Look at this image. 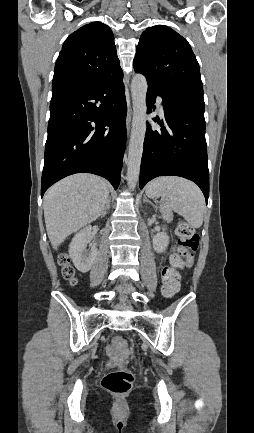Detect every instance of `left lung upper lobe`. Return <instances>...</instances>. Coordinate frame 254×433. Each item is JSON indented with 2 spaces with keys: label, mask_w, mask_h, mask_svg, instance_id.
<instances>
[{
  "label": "left lung upper lobe",
  "mask_w": 254,
  "mask_h": 433,
  "mask_svg": "<svg viewBox=\"0 0 254 433\" xmlns=\"http://www.w3.org/2000/svg\"><path fill=\"white\" fill-rule=\"evenodd\" d=\"M134 70L166 96L204 105L199 64L185 38L164 25L149 27L140 37Z\"/></svg>",
  "instance_id": "obj_1"
}]
</instances>
